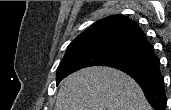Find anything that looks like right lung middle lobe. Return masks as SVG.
<instances>
[{"label": "right lung middle lobe", "mask_w": 171, "mask_h": 110, "mask_svg": "<svg viewBox=\"0 0 171 110\" xmlns=\"http://www.w3.org/2000/svg\"><path fill=\"white\" fill-rule=\"evenodd\" d=\"M157 57L134 49L103 42H91L68 47L57 68V84L69 74L89 66H109L126 70H144L155 66Z\"/></svg>", "instance_id": "right-lung-middle-lobe-1"}]
</instances>
